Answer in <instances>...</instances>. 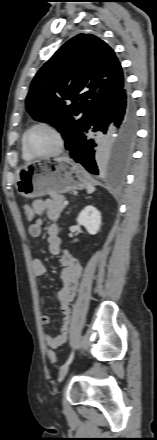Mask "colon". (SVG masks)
I'll use <instances>...</instances> for the list:
<instances>
[{
    "label": "colon",
    "mask_w": 157,
    "mask_h": 440,
    "mask_svg": "<svg viewBox=\"0 0 157 440\" xmlns=\"http://www.w3.org/2000/svg\"><path fill=\"white\" fill-rule=\"evenodd\" d=\"M23 212H24V215L28 221H32L34 219L35 213L32 209V206H30L28 204L24 205ZM56 358H57L56 353L54 351L48 352V359L51 364H54L56 362Z\"/></svg>",
    "instance_id": "5ec220e1"
}]
</instances>
